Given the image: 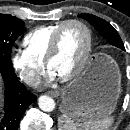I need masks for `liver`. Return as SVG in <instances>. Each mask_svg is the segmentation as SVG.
Instances as JSON below:
<instances>
[{
  "label": "liver",
  "instance_id": "obj_1",
  "mask_svg": "<svg viewBox=\"0 0 130 130\" xmlns=\"http://www.w3.org/2000/svg\"><path fill=\"white\" fill-rule=\"evenodd\" d=\"M1 100H2V79L0 75V106H1Z\"/></svg>",
  "mask_w": 130,
  "mask_h": 130
}]
</instances>
